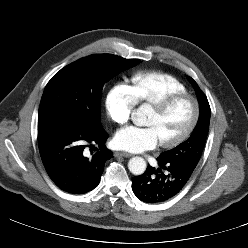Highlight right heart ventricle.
Returning a JSON list of instances; mask_svg holds the SVG:
<instances>
[{
    "instance_id": "obj_1",
    "label": "right heart ventricle",
    "mask_w": 248,
    "mask_h": 248,
    "mask_svg": "<svg viewBox=\"0 0 248 248\" xmlns=\"http://www.w3.org/2000/svg\"><path fill=\"white\" fill-rule=\"evenodd\" d=\"M127 87L136 104L152 105L166 95L187 92V87L178 78L159 72L136 73Z\"/></svg>"
}]
</instances>
